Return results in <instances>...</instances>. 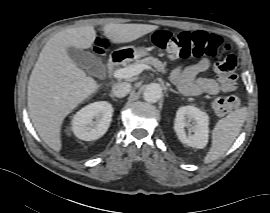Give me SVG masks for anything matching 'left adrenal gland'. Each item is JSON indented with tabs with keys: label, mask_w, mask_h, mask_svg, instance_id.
<instances>
[{
	"label": "left adrenal gland",
	"mask_w": 270,
	"mask_h": 213,
	"mask_svg": "<svg viewBox=\"0 0 270 213\" xmlns=\"http://www.w3.org/2000/svg\"><path fill=\"white\" fill-rule=\"evenodd\" d=\"M169 91H171V92H173V93H176V94H178L179 92L178 91H175L174 89H172V88H169Z\"/></svg>",
	"instance_id": "obj_1"
}]
</instances>
